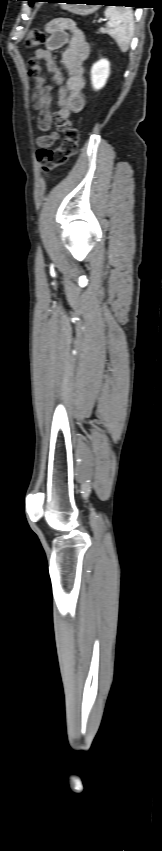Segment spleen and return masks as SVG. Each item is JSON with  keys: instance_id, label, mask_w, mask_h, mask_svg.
I'll use <instances>...</instances> for the list:
<instances>
[{"instance_id": "spleen-1", "label": "spleen", "mask_w": 162, "mask_h": 851, "mask_svg": "<svg viewBox=\"0 0 162 851\" xmlns=\"http://www.w3.org/2000/svg\"><path fill=\"white\" fill-rule=\"evenodd\" d=\"M105 16L109 19L107 32L115 39L120 50L126 52L134 31L132 9L110 6L106 8Z\"/></svg>"}]
</instances>
